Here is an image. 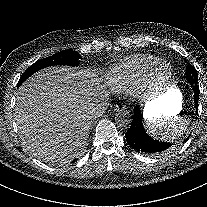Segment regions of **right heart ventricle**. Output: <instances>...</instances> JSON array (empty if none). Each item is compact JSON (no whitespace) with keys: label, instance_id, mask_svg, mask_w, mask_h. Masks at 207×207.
Masks as SVG:
<instances>
[{"label":"right heart ventricle","instance_id":"e07e8e85","mask_svg":"<svg viewBox=\"0 0 207 207\" xmlns=\"http://www.w3.org/2000/svg\"><path fill=\"white\" fill-rule=\"evenodd\" d=\"M160 63L158 57L152 55L134 56L110 69L107 83L116 94L129 93L145 87L153 68Z\"/></svg>","mask_w":207,"mask_h":207}]
</instances>
